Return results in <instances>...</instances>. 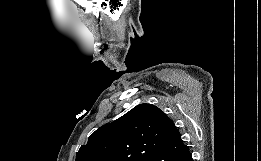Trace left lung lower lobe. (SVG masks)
Returning <instances> with one entry per match:
<instances>
[{"instance_id":"left-lung-lower-lobe-1","label":"left lung lower lobe","mask_w":261,"mask_h":161,"mask_svg":"<svg viewBox=\"0 0 261 161\" xmlns=\"http://www.w3.org/2000/svg\"><path fill=\"white\" fill-rule=\"evenodd\" d=\"M149 161H193V159L177 131L167 145L158 147L153 152Z\"/></svg>"}]
</instances>
